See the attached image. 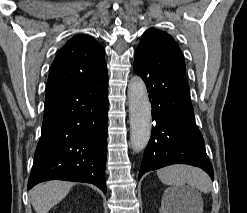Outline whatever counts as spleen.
I'll return each mask as SVG.
<instances>
[{
    "label": "spleen",
    "instance_id": "obj_1",
    "mask_svg": "<svg viewBox=\"0 0 247 213\" xmlns=\"http://www.w3.org/2000/svg\"><path fill=\"white\" fill-rule=\"evenodd\" d=\"M159 179L166 185L181 188L185 183L201 192L209 193L212 182L201 169L187 165H171L157 171Z\"/></svg>",
    "mask_w": 247,
    "mask_h": 213
}]
</instances>
